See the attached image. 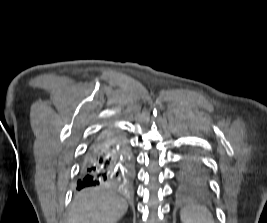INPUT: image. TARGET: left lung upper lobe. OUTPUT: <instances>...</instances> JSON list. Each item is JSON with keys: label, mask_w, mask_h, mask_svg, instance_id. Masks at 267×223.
<instances>
[{"label": "left lung upper lobe", "mask_w": 267, "mask_h": 223, "mask_svg": "<svg viewBox=\"0 0 267 223\" xmlns=\"http://www.w3.org/2000/svg\"><path fill=\"white\" fill-rule=\"evenodd\" d=\"M181 171H201L196 165L188 162Z\"/></svg>", "instance_id": "5c2ea615"}]
</instances>
